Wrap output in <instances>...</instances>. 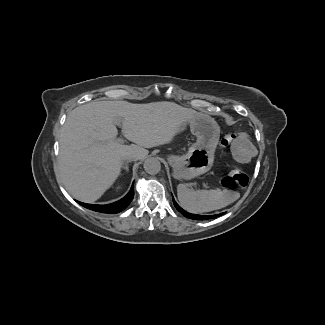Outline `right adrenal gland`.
<instances>
[{"instance_id":"1","label":"right adrenal gland","mask_w":325,"mask_h":325,"mask_svg":"<svg viewBox=\"0 0 325 325\" xmlns=\"http://www.w3.org/2000/svg\"><path fill=\"white\" fill-rule=\"evenodd\" d=\"M122 169L126 170L127 172H129V166L128 164H125L122 166Z\"/></svg>"}]
</instances>
